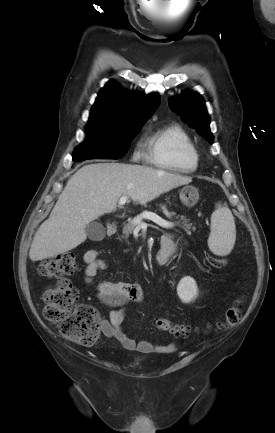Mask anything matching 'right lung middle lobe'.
Masks as SVG:
<instances>
[{"instance_id":"obj_1","label":"right lung middle lobe","mask_w":275,"mask_h":433,"mask_svg":"<svg viewBox=\"0 0 275 433\" xmlns=\"http://www.w3.org/2000/svg\"><path fill=\"white\" fill-rule=\"evenodd\" d=\"M145 122L104 124L88 122L86 139L73 152V161L118 159L124 156L131 140Z\"/></svg>"}]
</instances>
